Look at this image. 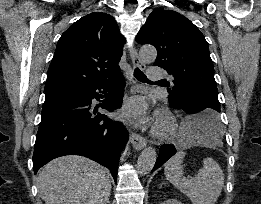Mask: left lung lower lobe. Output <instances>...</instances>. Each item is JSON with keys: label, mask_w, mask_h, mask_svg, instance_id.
<instances>
[{"label": "left lung lower lobe", "mask_w": 261, "mask_h": 204, "mask_svg": "<svg viewBox=\"0 0 261 204\" xmlns=\"http://www.w3.org/2000/svg\"><path fill=\"white\" fill-rule=\"evenodd\" d=\"M184 111L186 114H197L200 117V131L211 136H220L221 127L218 116L214 111L198 100H188L181 105L173 106ZM176 153L174 145L163 144L160 148L159 156L152 171L161 167L170 157Z\"/></svg>", "instance_id": "0a47b994"}]
</instances>
